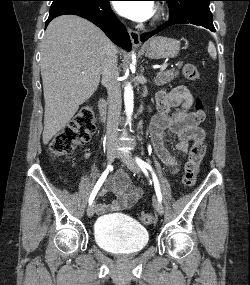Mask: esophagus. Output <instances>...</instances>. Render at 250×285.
I'll return each instance as SVG.
<instances>
[{
	"label": "esophagus",
	"mask_w": 250,
	"mask_h": 285,
	"mask_svg": "<svg viewBox=\"0 0 250 285\" xmlns=\"http://www.w3.org/2000/svg\"><path fill=\"white\" fill-rule=\"evenodd\" d=\"M129 35H130V39H131L133 46L138 47L141 43L140 33L138 31L133 30V29H129Z\"/></svg>",
	"instance_id": "34e87169"
}]
</instances>
